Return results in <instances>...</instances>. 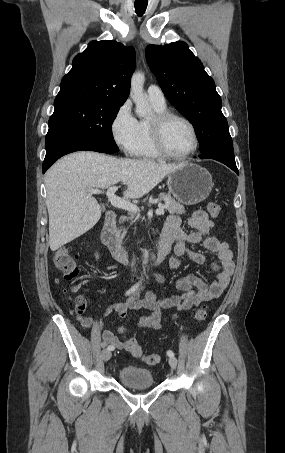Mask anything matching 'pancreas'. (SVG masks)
<instances>
[{
  "label": "pancreas",
  "mask_w": 285,
  "mask_h": 453,
  "mask_svg": "<svg viewBox=\"0 0 285 453\" xmlns=\"http://www.w3.org/2000/svg\"><path fill=\"white\" fill-rule=\"evenodd\" d=\"M160 199H162L165 204H164V208L168 210V212L170 214H184L185 213V208L183 205H181L179 202H176L170 194H166V193H160L159 195ZM130 220L135 221L137 219H139V215L138 216H134V215H131L129 217Z\"/></svg>",
  "instance_id": "obj_1"
}]
</instances>
